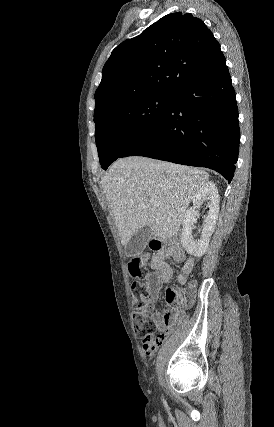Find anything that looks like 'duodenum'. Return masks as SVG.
<instances>
[{
  "mask_svg": "<svg viewBox=\"0 0 274 427\" xmlns=\"http://www.w3.org/2000/svg\"><path fill=\"white\" fill-rule=\"evenodd\" d=\"M154 245H155L156 247H160V243H159V242H157V241H155V242H154Z\"/></svg>",
  "mask_w": 274,
  "mask_h": 427,
  "instance_id": "duodenum-1",
  "label": "duodenum"
}]
</instances>
